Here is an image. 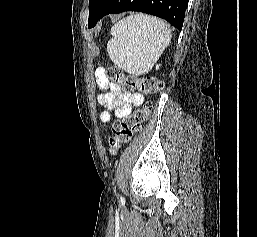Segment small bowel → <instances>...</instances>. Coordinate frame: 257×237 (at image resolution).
<instances>
[{
  "mask_svg": "<svg viewBox=\"0 0 257 237\" xmlns=\"http://www.w3.org/2000/svg\"><path fill=\"white\" fill-rule=\"evenodd\" d=\"M96 80L103 94L99 96V102L108 110L114 111L116 118L124 119L130 115L133 107L140 106L143 102V96L139 93L124 92L119 86L110 84L103 67L96 71ZM103 122H109L111 115L109 111L101 114Z\"/></svg>",
  "mask_w": 257,
  "mask_h": 237,
  "instance_id": "obj_1",
  "label": "small bowel"
}]
</instances>
